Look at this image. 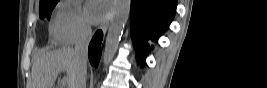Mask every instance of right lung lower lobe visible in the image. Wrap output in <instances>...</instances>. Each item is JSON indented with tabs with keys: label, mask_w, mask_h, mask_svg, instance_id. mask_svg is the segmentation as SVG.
<instances>
[{
	"label": "right lung lower lobe",
	"mask_w": 267,
	"mask_h": 88,
	"mask_svg": "<svg viewBox=\"0 0 267 88\" xmlns=\"http://www.w3.org/2000/svg\"><path fill=\"white\" fill-rule=\"evenodd\" d=\"M103 39V33L102 31H97L95 35L93 36L89 48H88V56L90 63L94 66L97 67L100 61L101 57V43Z\"/></svg>",
	"instance_id": "1"
}]
</instances>
